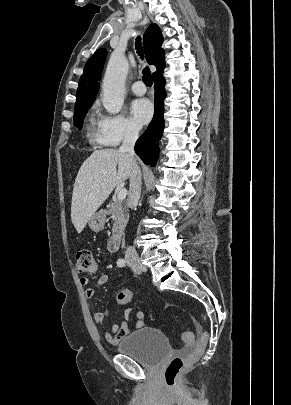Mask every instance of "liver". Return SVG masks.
I'll return each instance as SVG.
<instances>
[{
  "mask_svg": "<svg viewBox=\"0 0 291 405\" xmlns=\"http://www.w3.org/2000/svg\"><path fill=\"white\" fill-rule=\"evenodd\" d=\"M131 165L127 153L113 148L96 150L83 162L75 179L71 203V220L78 233L113 189L130 177Z\"/></svg>",
  "mask_w": 291,
  "mask_h": 405,
  "instance_id": "obj_1",
  "label": "liver"
}]
</instances>
